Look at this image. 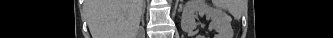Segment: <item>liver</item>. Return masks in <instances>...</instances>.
<instances>
[{
	"label": "liver",
	"mask_w": 333,
	"mask_h": 38,
	"mask_svg": "<svg viewBox=\"0 0 333 38\" xmlns=\"http://www.w3.org/2000/svg\"><path fill=\"white\" fill-rule=\"evenodd\" d=\"M144 0H87L92 38H136Z\"/></svg>",
	"instance_id": "liver-1"
}]
</instances>
